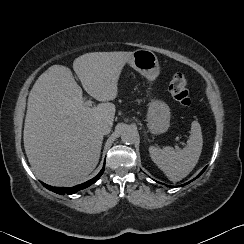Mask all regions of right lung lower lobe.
I'll use <instances>...</instances> for the list:
<instances>
[{
    "label": "right lung lower lobe",
    "mask_w": 244,
    "mask_h": 244,
    "mask_svg": "<svg viewBox=\"0 0 244 244\" xmlns=\"http://www.w3.org/2000/svg\"><path fill=\"white\" fill-rule=\"evenodd\" d=\"M104 168L103 167L101 169V171L98 173V175H96L94 178H92L91 180L85 182V183H82L80 185H77V186H74V187H71V188H65V187H52L50 185H47L45 183H42L44 187H46L47 189L55 192V193H58V194H61V195H64V194H74L76 192H78L79 190H82L84 188H87L89 187L90 185H92L93 183H95L99 178L100 176L103 174L104 172Z\"/></svg>",
    "instance_id": "1"
}]
</instances>
